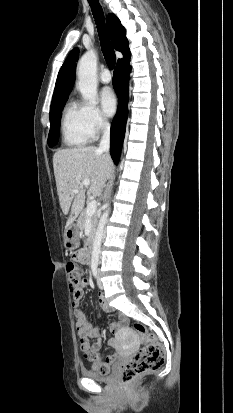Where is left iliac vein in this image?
Listing matches in <instances>:
<instances>
[{"label":"left iliac vein","instance_id":"left-iliac-vein-1","mask_svg":"<svg viewBox=\"0 0 233 413\" xmlns=\"http://www.w3.org/2000/svg\"><path fill=\"white\" fill-rule=\"evenodd\" d=\"M97 284H98V287H99L100 289H103V283H102V281H101V271H100V270H98Z\"/></svg>","mask_w":233,"mask_h":413}]
</instances>
